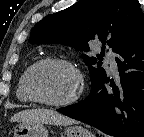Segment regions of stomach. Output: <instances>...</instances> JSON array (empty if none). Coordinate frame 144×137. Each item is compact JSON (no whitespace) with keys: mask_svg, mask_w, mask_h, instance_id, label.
Wrapping results in <instances>:
<instances>
[{"mask_svg":"<svg viewBox=\"0 0 144 137\" xmlns=\"http://www.w3.org/2000/svg\"><path fill=\"white\" fill-rule=\"evenodd\" d=\"M14 137H48L44 124L21 123L14 127ZM66 137H93L92 133L80 126H67Z\"/></svg>","mask_w":144,"mask_h":137,"instance_id":"0dacf381","label":"stomach"}]
</instances>
